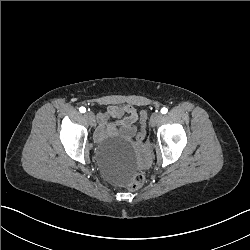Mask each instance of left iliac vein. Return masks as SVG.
<instances>
[{
	"instance_id": "left-iliac-vein-1",
	"label": "left iliac vein",
	"mask_w": 250,
	"mask_h": 250,
	"mask_svg": "<svg viewBox=\"0 0 250 250\" xmlns=\"http://www.w3.org/2000/svg\"><path fill=\"white\" fill-rule=\"evenodd\" d=\"M163 119V115L160 113H154L150 118V124L152 126L156 125L157 123L161 122Z\"/></svg>"
}]
</instances>
